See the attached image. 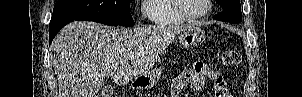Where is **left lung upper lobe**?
<instances>
[{
	"mask_svg": "<svg viewBox=\"0 0 302 97\" xmlns=\"http://www.w3.org/2000/svg\"><path fill=\"white\" fill-rule=\"evenodd\" d=\"M224 9L216 15L214 19L220 21H229L233 23L242 20L241 5L239 0H216Z\"/></svg>",
	"mask_w": 302,
	"mask_h": 97,
	"instance_id": "5c2ea615",
	"label": "left lung upper lobe"
}]
</instances>
